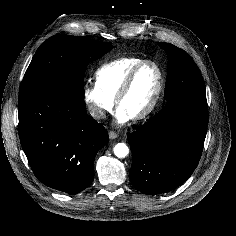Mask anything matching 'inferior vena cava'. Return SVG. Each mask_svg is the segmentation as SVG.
<instances>
[{"instance_id": "1", "label": "inferior vena cava", "mask_w": 236, "mask_h": 236, "mask_svg": "<svg viewBox=\"0 0 236 236\" xmlns=\"http://www.w3.org/2000/svg\"><path fill=\"white\" fill-rule=\"evenodd\" d=\"M88 110L90 112V115L95 119H103L106 117L103 110L101 108H99L95 103L89 104Z\"/></svg>"}]
</instances>
